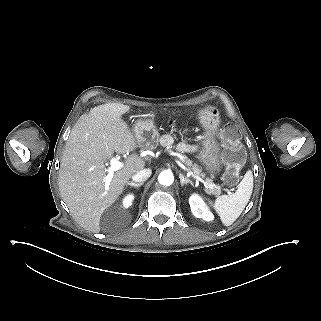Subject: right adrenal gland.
<instances>
[{
	"label": "right adrenal gland",
	"mask_w": 321,
	"mask_h": 321,
	"mask_svg": "<svg viewBox=\"0 0 321 321\" xmlns=\"http://www.w3.org/2000/svg\"><path fill=\"white\" fill-rule=\"evenodd\" d=\"M144 183L143 182H140V183H134V182H127L125 185L126 186H133V187H140L142 186Z\"/></svg>",
	"instance_id": "right-adrenal-gland-1"
}]
</instances>
